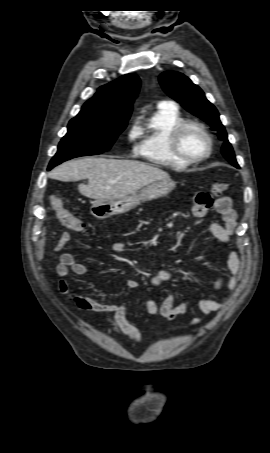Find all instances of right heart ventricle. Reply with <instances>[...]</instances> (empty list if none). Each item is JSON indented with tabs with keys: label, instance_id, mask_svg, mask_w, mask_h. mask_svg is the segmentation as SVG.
I'll list each match as a JSON object with an SVG mask.
<instances>
[{
	"label": "right heart ventricle",
	"instance_id": "obj_1",
	"mask_svg": "<svg viewBox=\"0 0 270 453\" xmlns=\"http://www.w3.org/2000/svg\"><path fill=\"white\" fill-rule=\"evenodd\" d=\"M184 121L174 105L159 106L158 110L140 128L141 141L137 153L147 162L170 168H185L190 164L178 159L171 151L169 138L172 130Z\"/></svg>",
	"mask_w": 270,
	"mask_h": 453
}]
</instances>
